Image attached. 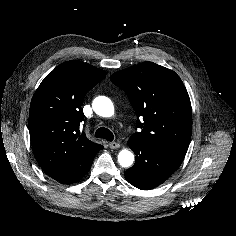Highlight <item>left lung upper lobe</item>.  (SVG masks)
<instances>
[{
  "label": "left lung upper lobe",
  "instance_id": "obj_1",
  "mask_svg": "<svg viewBox=\"0 0 236 236\" xmlns=\"http://www.w3.org/2000/svg\"><path fill=\"white\" fill-rule=\"evenodd\" d=\"M111 81L126 92L136 111V132L130 140L185 156L192 132L190 98L180 77L152 62L115 72Z\"/></svg>",
  "mask_w": 236,
  "mask_h": 236
}]
</instances>
